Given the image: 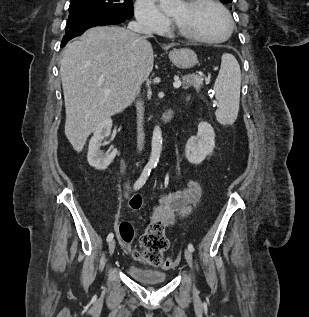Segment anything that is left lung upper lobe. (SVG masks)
Listing matches in <instances>:
<instances>
[{"label":"left lung upper lobe","instance_id":"1","mask_svg":"<svg viewBox=\"0 0 309 317\" xmlns=\"http://www.w3.org/2000/svg\"><path fill=\"white\" fill-rule=\"evenodd\" d=\"M220 1H222L224 4H227V3H231V2H232V0H220Z\"/></svg>","mask_w":309,"mask_h":317}]
</instances>
